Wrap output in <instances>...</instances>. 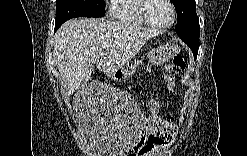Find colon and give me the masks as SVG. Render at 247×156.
<instances>
[{
  "mask_svg": "<svg viewBox=\"0 0 247 156\" xmlns=\"http://www.w3.org/2000/svg\"><path fill=\"white\" fill-rule=\"evenodd\" d=\"M186 68L185 58L182 55H176L169 63L163 68V79L165 86L170 93H175L177 76ZM163 111L155 110L152 116L148 117V127L143 131V136L153 137L157 135L158 130H161L163 123Z\"/></svg>",
  "mask_w": 247,
  "mask_h": 156,
  "instance_id": "5ec220e1",
  "label": "colon"
}]
</instances>
